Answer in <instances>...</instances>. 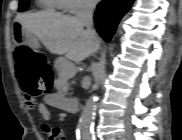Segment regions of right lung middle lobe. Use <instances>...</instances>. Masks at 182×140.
Masks as SVG:
<instances>
[{
    "instance_id": "obj_1",
    "label": "right lung middle lobe",
    "mask_w": 182,
    "mask_h": 140,
    "mask_svg": "<svg viewBox=\"0 0 182 140\" xmlns=\"http://www.w3.org/2000/svg\"><path fill=\"white\" fill-rule=\"evenodd\" d=\"M28 8V0H22L20 1V5H19V11H25Z\"/></svg>"
}]
</instances>
